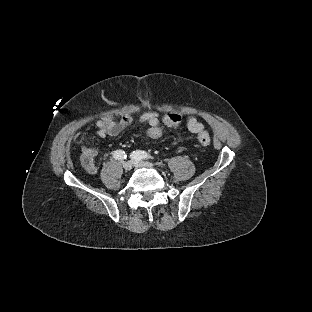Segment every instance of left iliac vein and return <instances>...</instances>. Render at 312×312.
Here are the masks:
<instances>
[{
	"instance_id": "obj_1",
	"label": "left iliac vein",
	"mask_w": 312,
	"mask_h": 312,
	"mask_svg": "<svg viewBox=\"0 0 312 312\" xmlns=\"http://www.w3.org/2000/svg\"><path fill=\"white\" fill-rule=\"evenodd\" d=\"M132 165L135 167H146V168H153V163L148 161H140L136 159H132L131 161Z\"/></svg>"
}]
</instances>
